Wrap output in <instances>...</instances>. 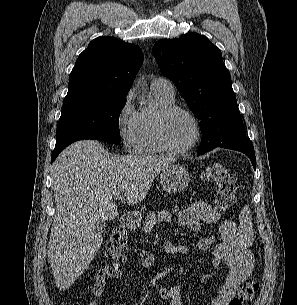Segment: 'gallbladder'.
Returning a JSON list of instances; mask_svg holds the SVG:
<instances>
[{
	"label": "gallbladder",
	"instance_id": "obj_1",
	"mask_svg": "<svg viewBox=\"0 0 297 305\" xmlns=\"http://www.w3.org/2000/svg\"><path fill=\"white\" fill-rule=\"evenodd\" d=\"M105 230H106V223L101 220L98 221L95 226V232L100 235V234L104 233Z\"/></svg>",
	"mask_w": 297,
	"mask_h": 305
}]
</instances>
